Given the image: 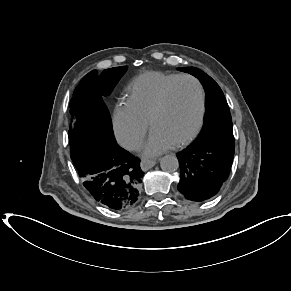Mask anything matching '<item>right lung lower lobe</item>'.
<instances>
[{"instance_id":"right-lung-lower-lobe-1","label":"right lung lower lobe","mask_w":291,"mask_h":291,"mask_svg":"<svg viewBox=\"0 0 291 291\" xmlns=\"http://www.w3.org/2000/svg\"><path fill=\"white\" fill-rule=\"evenodd\" d=\"M71 159L84 187L100 204L121 210L138 200L144 176L140 160L121 148L116 140L92 143Z\"/></svg>"}]
</instances>
